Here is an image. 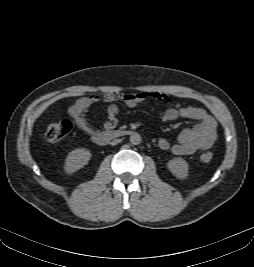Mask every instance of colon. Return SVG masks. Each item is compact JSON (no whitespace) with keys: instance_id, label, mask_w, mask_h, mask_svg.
<instances>
[{"instance_id":"5ec220e1","label":"colon","mask_w":254,"mask_h":267,"mask_svg":"<svg viewBox=\"0 0 254 267\" xmlns=\"http://www.w3.org/2000/svg\"><path fill=\"white\" fill-rule=\"evenodd\" d=\"M71 128L72 125L68 120L51 123L46 129L45 138L47 139V141L52 143L58 142L71 131ZM212 158L213 155L211 152H205L200 156V160L203 163L211 162Z\"/></svg>"}]
</instances>
